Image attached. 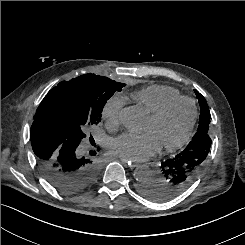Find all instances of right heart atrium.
<instances>
[{"instance_id":"obj_1","label":"right heart atrium","mask_w":245,"mask_h":245,"mask_svg":"<svg viewBox=\"0 0 245 245\" xmlns=\"http://www.w3.org/2000/svg\"><path fill=\"white\" fill-rule=\"evenodd\" d=\"M124 98L119 95L109 98L102 110V117L109 127L116 128L119 125V116L124 105Z\"/></svg>"}]
</instances>
